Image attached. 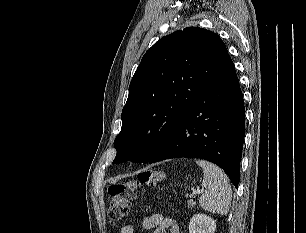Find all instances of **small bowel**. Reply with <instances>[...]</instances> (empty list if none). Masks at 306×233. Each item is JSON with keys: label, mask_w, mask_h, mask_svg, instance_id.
I'll use <instances>...</instances> for the list:
<instances>
[{"label": "small bowel", "mask_w": 306, "mask_h": 233, "mask_svg": "<svg viewBox=\"0 0 306 233\" xmlns=\"http://www.w3.org/2000/svg\"><path fill=\"white\" fill-rule=\"evenodd\" d=\"M141 225L146 230H153V233H180L177 220L162 214L144 217ZM134 228V224H126L120 229V233H134Z\"/></svg>", "instance_id": "obj_1"}]
</instances>
